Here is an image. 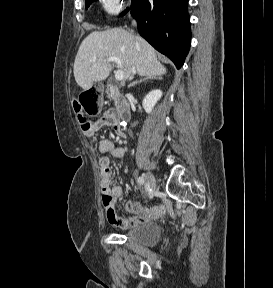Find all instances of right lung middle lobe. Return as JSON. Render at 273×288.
Wrapping results in <instances>:
<instances>
[{
	"label": "right lung middle lobe",
	"instance_id": "dd1d6c3e",
	"mask_svg": "<svg viewBox=\"0 0 273 288\" xmlns=\"http://www.w3.org/2000/svg\"><path fill=\"white\" fill-rule=\"evenodd\" d=\"M94 0H85V3H86V8H88V6L93 2ZM134 0H132V3H133ZM131 3V5H132ZM129 11V8H127L125 11H123L121 13V15H125L127 12Z\"/></svg>",
	"mask_w": 273,
	"mask_h": 288
}]
</instances>
